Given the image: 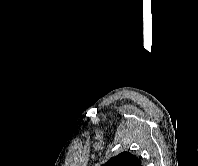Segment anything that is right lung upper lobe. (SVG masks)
<instances>
[{
	"instance_id": "obj_1",
	"label": "right lung upper lobe",
	"mask_w": 198,
	"mask_h": 166,
	"mask_svg": "<svg viewBox=\"0 0 198 166\" xmlns=\"http://www.w3.org/2000/svg\"><path fill=\"white\" fill-rule=\"evenodd\" d=\"M103 166H141L138 158L130 152H122L110 159Z\"/></svg>"
}]
</instances>
